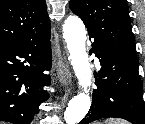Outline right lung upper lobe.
I'll use <instances>...</instances> for the list:
<instances>
[{"instance_id": "1", "label": "right lung upper lobe", "mask_w": 145, "mask_h": 124, "mask_svg": "<svg viewBox=\"0 0 145 124\" xmlns=\"http://www.w3.org/2000/svg\"><path fill=\"white\" fill-rule=\"evenodd\" d=\"M49 30L45 0H0V45L36 38Z\"/></svg>"}]
</instances>
